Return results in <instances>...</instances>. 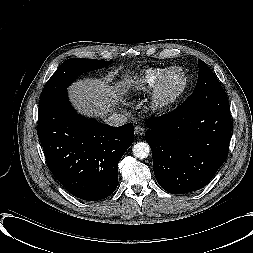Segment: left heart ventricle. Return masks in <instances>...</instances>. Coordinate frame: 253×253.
Here are the masks:
<instances>
[{
	"mask_svg": "<svg viewBox=\"0 0 253 253\" xmlns=\"http://www.w3.org/2000/svg\"><path fill=\"white\" fill-rule=\"evenodd\" d=\"M183 83V76L181 72H172L164 81L162 87V94L164 96H170L176 93Z\"/></svg>",
	"mask_w": 253,
	"mask_h": 253,
	"instance_id": "obj_1",
	"label": "left heart ventricle"
}]
</instances>
